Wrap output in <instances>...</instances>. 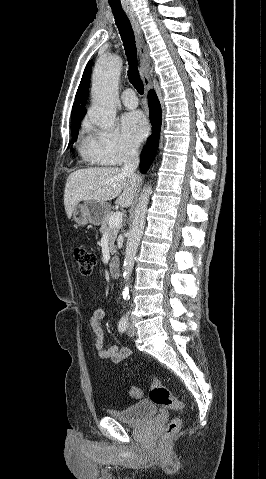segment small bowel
I'll return each mask as SVG.
<instances>
[{
    "instance_id": "small-bowel-1",
    "label": "small bowel",
    "mask_w": 266,
    "mask_h": 479,
    "mask_svg": "<svg viewBox=\"0 0 266 479\" xmlns=\"http://www.w3.org/2000/svg\"><path fill=\"white\" fill-rule=\"evenodd\" d=\"M104 318L103 309H96L90 319L91 330L94 335V346L100 358L119 363L130 356L131 351L128 348L105 345L104 331L101 321Z\"/></svg>"
}]
</instances>
